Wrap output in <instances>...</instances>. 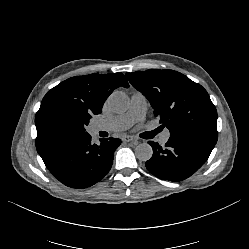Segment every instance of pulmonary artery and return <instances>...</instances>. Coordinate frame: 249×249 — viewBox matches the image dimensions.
<instances>
[{
  "instance_id": "obj_1",
  "label": "pulmonary artery",
  "mask_w": 249,
  "mask_h": 249,
  "mask_svg": "<svg viewBox=\"0 0 249 249\" xmlns=\"http://www.w3.org/2000/svg\"><path fill=\"white\" fill-rule=\"evenodd\" d=\"M147 112V99L140 93L135 92L131 96L130 107L127 112L107 118L98 122H94L90 125L91 135H96L100 131H123L135 123L145 120ZM170 137V131L164 130L159 136L160 144L167 143Z\"/></svg>"
}]
</instances>
